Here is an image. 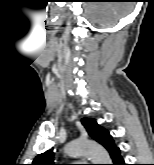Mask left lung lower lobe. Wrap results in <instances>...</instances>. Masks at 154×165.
I'll use <instances>...</instances> for the list:
<instances>
[{"label":"left lung lower lobe","instance_id":"left-lung-lower-lobe-1","mask_svg":"<svg viewBox=\"0 0 154 165\" xmlns=\"http://www.w3.org/2000/svg\"><path fill=\"white\" fill-rule=\"evenodd\" d=\"M112 161H113V164L112 165H126L124 163V160L122 159V157L120 155L119 148H117L116 151H115V153L113 154Z\"/></svg>","mask_w":154,"mask_h":165}]
</instances>
